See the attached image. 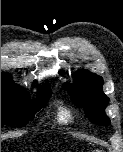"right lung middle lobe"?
<instances>
[{"label": "right lung middle lobe", "instance_id": "obj_1", "mask_svg": "<svg viewBox=\"0 0 123 152\" xmlns=\"http://www.w3.org/2000/svg\"><path fill=\"white\" fill-rule=\"evenodd\" d=\"M51 94L40 95L38 102L30 101L27 95L1 87V126L26 125L35 114L45 107Z\"/></svg>", "mask_w": 123, "mask_h": 152}]
</instances>
